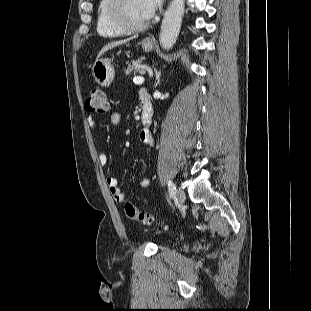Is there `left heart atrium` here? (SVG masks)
<instances>
[{
    "instance_id": "obj_1",
    "label": "left heart atrium",
    "mask_w": 311,
    "mask_h": 311,
    "mask_svg": "<svg viewBox=\"0 0 311 311\" xmlns=\"http://www.w3.org/2000/svg\"><path fill=\"white\" fill-rule=\"evenodd\" d=\"M140 2L145 16L149 19L161 7L163 0H140Z\"/></svg>"
}]
</instances>
